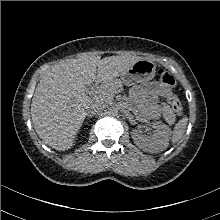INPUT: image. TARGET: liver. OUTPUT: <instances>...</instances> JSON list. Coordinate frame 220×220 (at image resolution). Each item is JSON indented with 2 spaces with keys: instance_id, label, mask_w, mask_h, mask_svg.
<instances>
[{
  "instance_id": "1",
  "label": "liver",
  "mask_w": 220,
  "mask_h": 220,
  "mask_svg": "<svg viewBox=\"0 0 220 220\" xmlns=\"http://www.w3.org/2000/svg\"><path fill=\"white\" fill-rule=\"evenodd\" d=\"M141 59L83 55L52 66L39 81L31 103L32 123L40 139L58 151L70 149L89 108L98 103L86 94L87 87L96 82L99 94L117 92L121 87L117 78Z\"/></svg>"
}]
</instances>
